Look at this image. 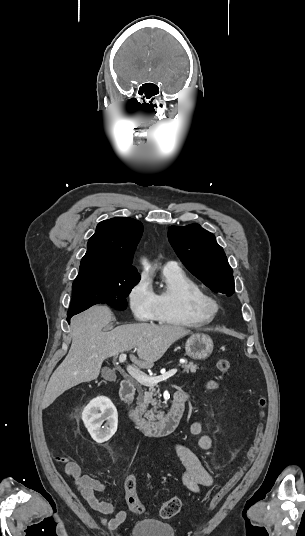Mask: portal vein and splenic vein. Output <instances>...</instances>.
Segmentation results:
<instances>
[{
    "instance_id": "portal-vein-and-splenic-vein-1",
    "label": "portal vein and splenic vein",
    "mask_w": 305,
    "mask_h": 536,
    "mask_svg": "<svg viewBox=\"0 0 305 536\" xmlns=\"http://www.w3.org/2000/svg\"><path fill=\"white\" fill-rule=\"evenodd\" d=\"M126 354H120L119 356V362H126ZM182 362V360H180ZM127 372L132 376V378H135L139 384H143V386H149V384H158V382H163V380H168V378H171V376H174L176 374L177 370H169V372H161L162 376H146L144 372H140V370H137V368H133V366H127Z\"/></svg>"
}]
</instances>
